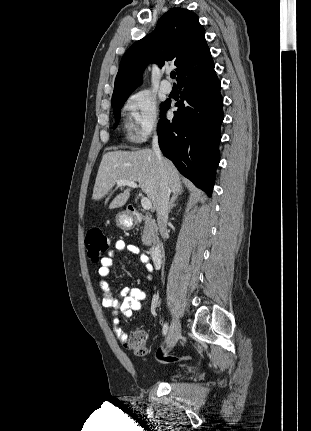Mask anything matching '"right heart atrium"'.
I'll list each match as a JSON object with an SVG mask.
<instances>
[{
    "mask_svg": "<svg viewBox=\"0 0 311 431\" xmlns=\"http://www.w3.org/2000/svg\"><path fill=\"white\" fill-rule=\"evenodd\" d=\"M125 109L137 141L144 142L161 129L162 117L158 103L147 91L138 90L128 96Z\"/></svg>",
    "mask_w": 311,
    "mask_h": 431,
    "instance_id": "d8ad5b80",
    "label": "right heart atrium"
}]
</instances>
